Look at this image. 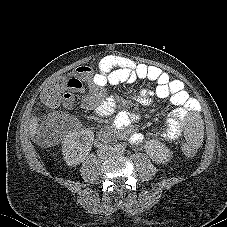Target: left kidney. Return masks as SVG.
Returning a JSON list of instances; mask_svg holds the SVG:
<instances>
[{
	"instance_id": "5707ae66",
	"label": "left kidney",
	"mask_w": 227,
	"mask_h": 227,
	"mask_svg": "<svg viewBox=\"0 0 227 227\" xmlns=\"http://www.w3.org/2000/svg\"><path fill=\"white\" fill-rule=\"evenodd\" d=\"M147 153L150 158L158 164L169 162L172 156L171 151L158 141H151L149 143Z\"/></svg>"
}]
</instances>
